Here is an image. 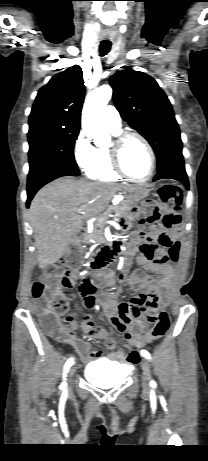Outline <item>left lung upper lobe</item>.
Returning <instances> with one entry per match:
<instances>
[{"label":"left lung upper lobe","mask_w":208,"mask_h":461,"mask_svg":"<svg viewBox=\"0 0 208 461\" xmlns=\"http://www.w3.org/2000/svg\"><path fill=\"white\" fill-rule=\"evenodd\" d=\"M121 117L152 146L158 170L183 158L180 130L169 99L149 75L126 69L110 78Z\"/></svg>","instance_id":"left-lung-upper-lobe-1"}]
</instances>
